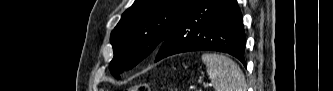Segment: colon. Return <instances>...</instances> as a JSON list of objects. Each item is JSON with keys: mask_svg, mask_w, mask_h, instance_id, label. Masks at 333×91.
Listing matches in <instances>:
<instances>
[{"mask_svg": "<svg viewBox=\"0 0 333 91\" xmlns=\"http://www.w3.org/2000/svg\"><path fill=\"white\" fill-rule=\"evenodd\" d=\"M129 91H149V86L145 83L136 84L131 86Z\"/></svg>", "mask_w": 333, "mask_h": 91, "instance_id": "1", "label": "colon"}]
</instances>
